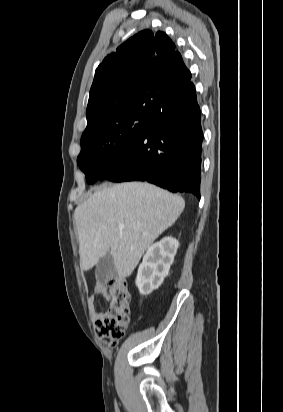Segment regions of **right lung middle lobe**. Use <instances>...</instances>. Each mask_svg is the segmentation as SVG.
<instances>
[{"mask_svg": "<svg viewBox=\"0 0 283 412\" xmlns=\"http://www.w3.org/2000/svg\"><path fill=\"white\" fill-rule=\"evenodd\" d=\"M160 101H147L108 118L99 128L81 137V152L77 158L88 184L122 158L134 143L151 116L162 107Z\"/></svg>", "mask_w": 283, "mask_h": 412, "instance_id": "1", "label": "right lung middle lobe"}]
</instances>
